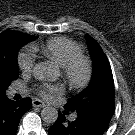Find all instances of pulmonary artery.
<instances>
[{
	"label": "pulmonary artery",
	"instance_id": "pulmonary-artery-1",
	"mask_svg": "<svg viewBox=\"0 0 135 135\" xmlns=\"http://www.w3.org/2000/svg\"><path fill=\"white\" fill-rule=\"evenodd\" d=\"M14 93H16V91H15V90H13V91H12V94H14Z\"/></svg>",
	"mask_w": 135,
	"mask_h": 135
}]
</instances>
